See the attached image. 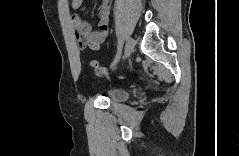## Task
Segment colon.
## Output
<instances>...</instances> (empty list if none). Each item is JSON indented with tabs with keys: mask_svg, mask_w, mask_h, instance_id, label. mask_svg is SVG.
Instances as JSON below:
<instances>
[{
	"mask_svg": "<svg viewBox=\"0 0 239 156\" xmlns=\"http://www.w3.org/2000/svg\"><path fill=\"white\" fill-rule=\"evenodd\" d=\"M88 64L98 75L106 76L109 74V71L105 67L101 66L97 61L93 60Z\"/></svg>",
	"mask_w": 239,
	"mask_h": 156,
	"instance_id": "1",
	"label": "colon"
}]
</instances>
